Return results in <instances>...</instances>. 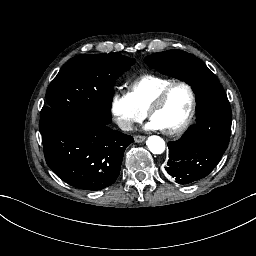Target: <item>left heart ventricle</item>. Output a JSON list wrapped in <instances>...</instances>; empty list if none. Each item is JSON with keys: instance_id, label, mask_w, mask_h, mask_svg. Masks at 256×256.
I'll return each mask as SVG.
<instances>
[{"instance_id": "obj_1", "label": "left heart ventricle", "mask_w": 256, "mask_h": 256, "mask_svg": "<svg viewBox=\"0 0 256 256\" xmlns=\"http://www.w3.org/2000/svg\"><path fill=\"white\" fill-rule=\"evenodd\" d=\"M191 106L188 90L180 84L173 86L163 104L152 112V117L160 120L166 132L180 125L187 117Z\"/></svg>"}]
</instances>
